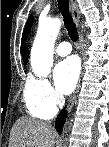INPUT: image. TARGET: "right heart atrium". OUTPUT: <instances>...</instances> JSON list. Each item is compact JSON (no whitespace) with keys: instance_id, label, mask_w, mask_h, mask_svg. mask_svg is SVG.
<instances>
[{"instance_id":"1","label":"right heart atrium","mask_w":109,"mask_h":147,"mask_svg":"<svg viewBox=\"0 0 109 147\" xmlns=\"http://www.w3.org/2000/svg\"><path fill=\"white\" fill-rule=\"evenodd\" d=\"M26 95L45 111L55 114L61 103V97L46 79L33 80L26 89Z\"/></svg>"}]
</instances>
